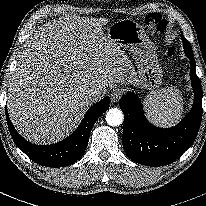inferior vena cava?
Masks as SVG:
<instances>
[{
    "instance_id": "inferior-vena-cava-1",
    "label": "inferior vena cava",
    "mask_w": 206,
    "mask_h": 206,
    "mask_svg": "<svg viewBox=\"0 0 206 206\" xmlns=\"http://www.w3.org/2000/svg\"><path fill=\"white\" fill-rule=\"evenodd\" d=\"M106 94L105 91H92L91 94L89 95V99L93 102H96L100 100L104 95Z\"/></svg>"
}]
</instances>
